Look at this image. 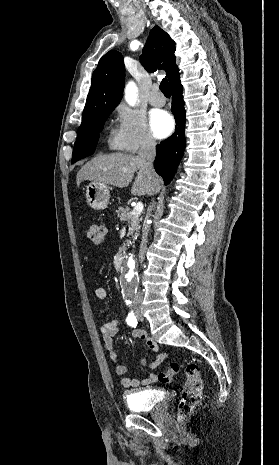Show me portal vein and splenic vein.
Masks as SVG:
<instances>
[{"label": "portal vein and splenic vein", "instance_id": "18ae733b", "mask_svg": "<svg viewBox=\"0 0 279 465\" xmlns=\"http://www.w3.org/2000/svg\"><path fill=\"white\" fill-rule=\"evenodd\" d=\"M143 211V203L142 202H138L132 212H131V215L134 216V217H138Z\"/></svg>", "mask_w": 279, "mask_h": 465}]
</instances>
